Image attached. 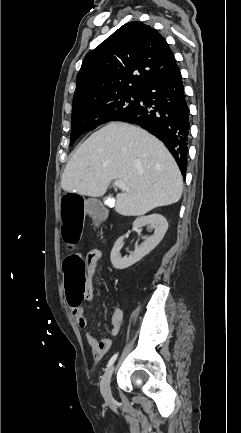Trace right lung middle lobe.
I'll return each instance as SVG.
<instances>
[{"label":"right lung middle lobe","instance_id":"dd1d6c3e","mask_svg":"<svg viewBox=\"0 0 241 433\" xmlns=\"http://www.w3.org/2000/svg\"><path fill=\"white\" fill-rule=\"evenodd\" d=\"M140 97V91H126L73 104L70 146L83 133L130 114L139 104Z\"/></svg>","mask_w":241,"mask_h":433}]
</instances>
